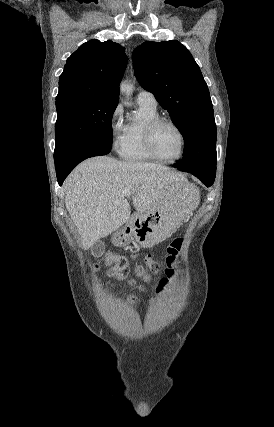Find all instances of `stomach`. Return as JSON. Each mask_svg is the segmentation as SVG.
<instances>
[{
  "label": "stomach",
  "instance_id": "0dacf381",
  "mask_svg": "<svg viewBox=\"0 0 274 427\" xmlns=\"http://www.w3.org/2000/svg\"><path fill=\"white\" fill-rule=\"evenodd\" d=\"M172 188V186H170ZM199 202V194L193 184H182L179 190H173L169 202H161L153 210L145 214H133L127 223L112 233L111 241L114 245H129L131 239L140 243L142 247H153L178 227V215H190L196 206L193 200Z\"/></svg>",
  "mask_w": 274,
  "mask_h": 427
}]
</instances>
